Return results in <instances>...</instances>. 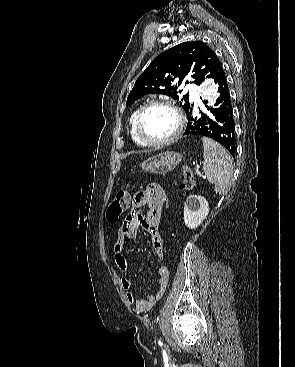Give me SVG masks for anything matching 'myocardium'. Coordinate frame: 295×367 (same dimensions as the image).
<instances>
[{"mask_svg": "<svg viewBox=\"0 0 295 367\" xmlns=\"http://www.w3.org/2000/svg\"><path fill=\"white\" fill-rule=\"evenodd\" d=\"M157 106L166 107L175 114L176 119H177V127L174 133L170 137L164 140H160V141H151V140H148L143 135L142 129H141V122H142L145 112L148 109L152 107H157ZM183 128H184V117L181 111L173 103L166 101V100H154V101L146 103L138 110L136 118H135V133L138 139L141 141V143L144 144L145 146L162 147V146L169 145L173 143L176 139L179 138V136L181 135L183 131Z\"/></svg>", "mask_w": 295, "mask_h": 367, "instance_id": "1", "label": "myocardium"}]
</instances>
